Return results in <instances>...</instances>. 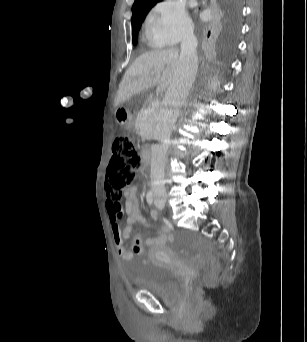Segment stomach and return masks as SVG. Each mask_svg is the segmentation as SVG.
<instances>
[{
  "label": "stomach",
  "mask_w": 307,
  "mask_h": 342,
  "mask_svg": "<svg viewBox=\"0 0 307 342\" xmlns=\"http://www.w3.org/2000/svg\"><path fill=\"white\" fill-rule=\"evenodd\" d=\"M116 120L120 124L122 128L129 129L132 127L133 121L130 113L123 109H117L116 112Z\"/></svg>",
  "instance_id": "0dacf381"
}]
</instances>
